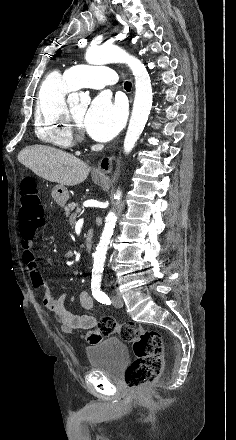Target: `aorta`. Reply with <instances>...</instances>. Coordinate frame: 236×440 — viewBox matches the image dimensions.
<instances>
[{
	"mask_svg": "<svg viewBox=\"0 0 236 440\" xmlns=\"http://www.w3.org/2000/svg\"><path fill=\"white\" fill-rule=\"evenodd\" d=\"M85 59L89 64L102 65L107 63H126L131 69L135 78V99L133 110L129 121V126L124 139V152L130 153L137 140L142 134L147 123L148 116L152 107V85L151 79L145 65L136 57L130 55L124 49L112 44H104L99 47L87 49ZM79 100L88 101L89 97L85 94L72 93L69 96L70 104L78 103ZM121 198V192L117 191L115 199ZM117 216L114 212H109L99 244L94 254L92 275L94 278H100L104 270L106 253L110 244L116 225Z\"/></svg>",
	"mask_w": 236,
	"mask_h": 440,
	"instance_id": "762f6f07",
	"label": "aorta"
}]
</instances>
